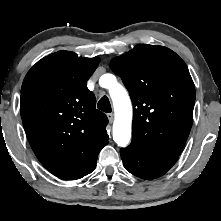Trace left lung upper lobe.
Wrapping results in <instances>:
<instances>
[{
    "label": "left lung upper lobe",
    "instance_id": "5c2ea615",
    "mask_svg": "<svg viewBox=\"0 0 221 221\" xmlns=\"http://www.w3.org/2000/svg\"><path fill=\"white\" fill-rule=\"evenodd\" d=\"M110 68L133 103L132 142L161 155L178 157L188 138L195 87L185 62L172 50L139 44L115 57Z\"/></svg>",
    "mask_w": 221,
    "mask_h": 221
}]
</instances>
